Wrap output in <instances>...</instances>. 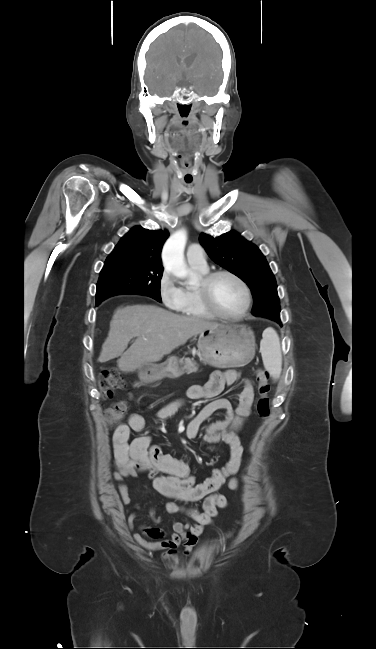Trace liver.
I'll return each mask as SVG.
<instances>
[{"label":"liver","mask_w":376,"mask_h":649,"mask_svg":"<svg viewBox=\"0 0 376 649\" xmlns=\"http://www.w3.org/2000/svg\"><path fill=\"white\" fill-rule=\"evenodd\" d=\"M219 326L215 322L177 315L156 305L120 307L113 314L98 361L104 363L120 357L118 368L133 372L160 361L200 332ZM134 337L137 339L127 349Z\"/></svg>","instance_id":"obj_1"}]
</instances>
